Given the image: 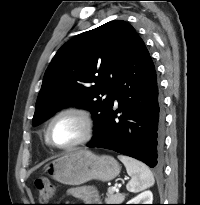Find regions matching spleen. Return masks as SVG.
I'll use <instances>...</instances> for the list:
<instances>
[{"mask_svg": "<svg viewBox=\"0 0 200 205\" xmlns=\"http://www.w3.org/2000/svg\"><path fill=\"white\" fill-rule=\"evenodd\" d=\"M118 159L125 165L127 173L131 176V180L126 185L128 191L140 192L154 184V176L146 164L124 155H118Z\"/></svg>", "mask_w": 200, "mask_h": 205, "instance_id": "spleen-1", "label": "spleen"}]
</instances>
